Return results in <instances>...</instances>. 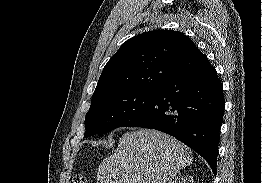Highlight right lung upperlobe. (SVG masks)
I'll list each match as a JSON object with an SVG mask.
<instances>
[{
  "instance_id": "obj_1",
  "label": "right lung upper lobe",
  "mask_w": 262,
  "mask_h": 183,
  "mask_svg": "<svg viewBox=\"0 0 262 183\" xmlns=\"http://www.w3.org/2000/svg\"><path fill=\"white\" fill-rule=\"evenodd\" d=\"M208 62L181 32L149 31L127 40L107 62L92 98L125 89H158Z\"/></svg>"
}]
</instances>
